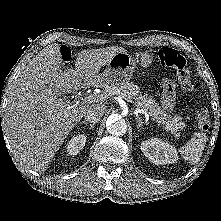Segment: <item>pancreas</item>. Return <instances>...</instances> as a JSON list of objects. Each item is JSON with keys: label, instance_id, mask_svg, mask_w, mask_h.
<instances>
[{"label": "pancreas", "instance_id": "1", "mask_svg": "<svg viewBox=\"0 0 221 221\" xmlns=\"http://www.w3.org/2000/svg\"><path fill=\"white\" fill-rule=\"evenodd\" d=\"M103 94L107 95V97L127 94L131 99L135 100L134 105L136 108L146 111L152 120L163 125V128L171 134L175 135L186 126L181 116L168 114L156 103L152 96L142 94L139 87L133 82L126 81L123 84L106 85Z\"/></svg>", "mask_w": 221, "mask_h": 221}]
</instances>
